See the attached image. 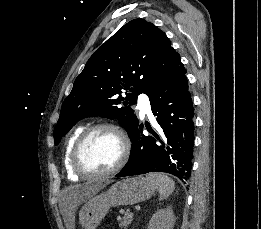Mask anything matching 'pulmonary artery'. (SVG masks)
I'll return each instance as SVG.
<instances>
[{
  "instance_id": "obj_1",
  "label": "pulmonary artery",
  "mask_w": 261,
  "mask_h": 229,
  "mask_svg": "<svg viewBox=\"0 0 261 229\" xmlns=\"http://www.w3.org/2000/svg\"><path fill=\"white\" fill-rule=\"evenodd\" d=\"M147 95H148L147 91H141L140 94H138L139 104L137 107L142 118L152 115L149 106L152 104V101L150 100V97Z\"/></svg>"
}]
</instances>
